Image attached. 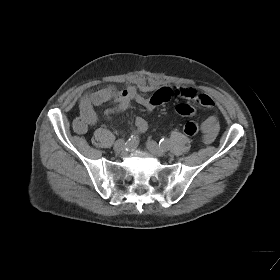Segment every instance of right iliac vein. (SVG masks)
<instances>
[{
    "mask_svg": "<svg viewBox=\"0 0 280 280\" xmlns=\"http://www.w3.org/2000/svg\"><path fill=\"white\" fill-rule=\"evenodd\" d=\"M125 148V141L123 139H119L115 142L114 144V150L117 153H120L121 151H123Z\"/></svg>",
    "mask_w": 280,
    "mask_h": 280,
    "instance_id": "right-iliac-vein-1",
    "label": "right iliac vein"
}]
</instances>
